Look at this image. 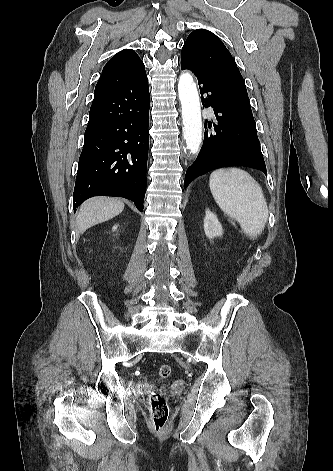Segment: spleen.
<instances>
[{"instance_id": "obj_1", "label": "spleen", "mask_w": 333, "mask_h": 471, "mask_svg": "<svg viewBox=\"0 0 333 471\" xmlns=\"http://www.w3.org/2000/svg\"><path fill=\"white\" fill-rule=\"evenodd\" d=\"M209 185L216 203L239 222L244 234L255 238L262 233L269 211L262 188L248 172L236 167L217 169Z\"/></svg>"}]
</instances>
